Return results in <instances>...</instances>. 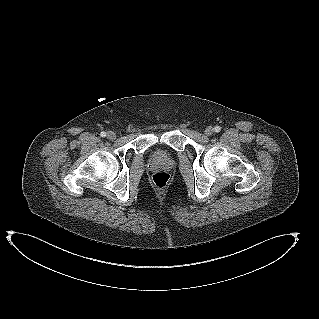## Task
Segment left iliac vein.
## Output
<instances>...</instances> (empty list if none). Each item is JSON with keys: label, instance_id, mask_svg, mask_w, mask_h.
I'll return each mask as SVG.
<instances>
[{"label": "left iliac vein", "instance_id": "4c4485c4", "mask_svg": "<svg viewBox=\"0 0 319 319\" xmlns=\"http://www.w3.org/2000/svg\"><path fill=\"white\" fill-rule=\"evenodd\" d=\"M213 132H214V129L210 126L205 129V134L208 136L212 135Z\"/></svg>", "mask_w": 319, "mask_h": 319}]
</instances>
